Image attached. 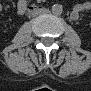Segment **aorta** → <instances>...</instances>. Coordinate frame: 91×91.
<instances>
[{"instance_id":"obj_1","label":"aorta","mask_w":91,"mask_h":91,"mask_svg":"<svg viewBox=\"0 0 91 91\" xmlns=\"http://www.w3.org/2000/svg\"><path fill=\"white\" fill-rule=\"evenodd\" d=\"M63 11L62 5L55 4L52 6V13L56 16L61 15Z\"/></svg>"}]
</instances>
